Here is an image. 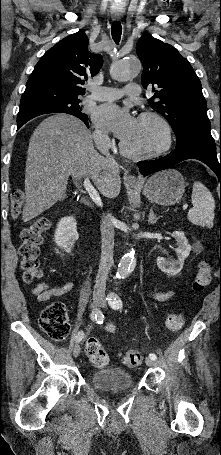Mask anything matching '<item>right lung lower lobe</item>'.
Returning <instances> with one entry per match:
<instances>
[{
	"instance_id": "98d812e1",
	"label": "right lung lower lobe",
	"mask_w": 221,
	"mask_h": 455,
	"mask_svg": "<svg viewBox=\"0 0 221 455\" xmlns=\"http://www.w3.org/2000/svg\"><path fill=\"white\" fill-rule=\"evenodd\" d=\"M34 117H31V118H27V119H24L22 120L21 122L18 123L17 125V129H19L21 126H23L26 122H28L30 119H32ZM89 127V126H88Z\"/></svg>"
}]
</instances>
